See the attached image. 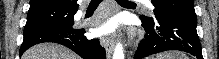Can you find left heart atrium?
Wrapping results in <instances>:
<instances>
[{"instance_id": "1", "label": "left heart atrium", "mask_w": 219, "mask_h": 59, "mask_svg": "<svg viewBox=\"0 0 219 59\" xmlns=\"http://www.w3.org/2000/svg\"><path fill=\"white\" fill-rule=\"evenodd\" d=\"M112 28H113V24L106 23V24L102 25L98 31H99V33H107L109 31H111Z\"/></svg>"}]
</instances>
